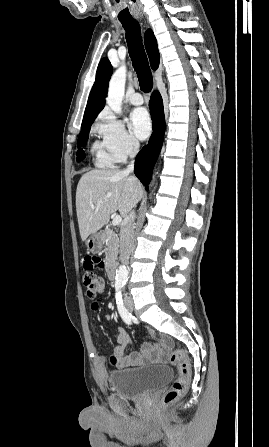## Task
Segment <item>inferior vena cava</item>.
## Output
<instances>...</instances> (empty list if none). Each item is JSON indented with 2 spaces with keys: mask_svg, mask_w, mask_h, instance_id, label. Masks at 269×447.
Returning <instances> with one entry per match:
<instances>
[{
  "mask_svg": "<svg viewBox=\"0 0 269 447\" xmlns=\"http://www.w3.org/2000/svg\"><path fill=\"white\" fill-rule=\"evenodd\" d=\"M139 142L138 140H133L131 152H129V156L131 158V162L129 166H127L126 170H124L123 174H131L134 170V160L138 150H139ZM135 218L136 214L133 210L131 214H128L126 218H124L121 229H120V259L121 263H125L127 265L128 259L131 255V251L134 245V229H135Z\"/></svg>",
  "mask_w": 269,
  "mask_h": 447,
  "instance_id": "602c4592",
  "label": "inferior vena cava"
}]
</instances>
